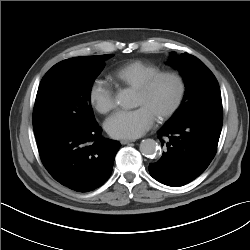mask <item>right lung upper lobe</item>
<instances>
[{"mask_svg":"<svg viewBox=\"0 0 250 250\" xmlns=\"http://www.w3.org/2000/svg\"><path fill=\"white\" fill-rule=\"evenodd\" d=\"M90 57L91 56H83V57H75V58L63 60V61L57 63L56 65H54V67L60 66V65L66 64V63H71V62H85L88 59H90Z\"/></svg>","mask_w":250,"mask_h":250,"instance_id":"right-lung-upper-lobe-1","label":"right lung upper lobe"}]
</instances>
